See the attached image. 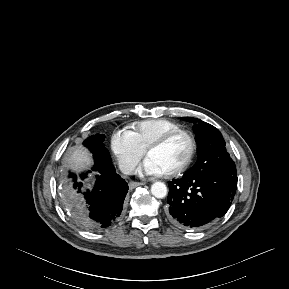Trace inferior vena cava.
Instances as JSON below:
<instances>
[{
    "instance_id": "obj_1",
    "label": "inferior vena cava",
    "mask_w": 289,
    "mask_h": 289,
    "mask_svg": "<svg viewBox=\"0 0 289 289\" xmlns=\"http://www.w3.org/2000/svg\"><path fill=\"white\" fill-rule=\"evenodd\" d=\"M121 171L124 174H133L135 171V165L134 164H127V165L121 167Z\"/></svg>"
}]
</instances>
